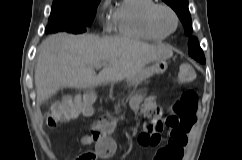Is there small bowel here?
I'll return each instance as SVG.
<instances>
[{
    "mask_svg": "<svg viewBox=\"0 0 242 160\" xmlns=\"http://www.w3.org/2000/svg\"><path fill=\"white\" fill-rule=\"evenodd\" d=\"M132 108H139L141 111H143L137 102L132 104ZM92 113V108H89L83 112V114L86 116L92 115ZM177 129L179 128H170V137L166 140L165 144L156 151L153 160H183L184 150L188 143L189 130L179 129L183 133V140L180 142L171 136L172 131ZM111 130L112 124L109 122L106 123L103 130L100 128L98 123L94 130L95 140H93V143L95 145L96 154L102 158L113 155L116 150V143L109 135ZM80 156L81 155H79L75 160H79Z\"/></svg>",
    "mask_w": 242,
    "mask_h": 160,
    "instance_id": "1",
    "label": "small bowel"
}]
</instances>
